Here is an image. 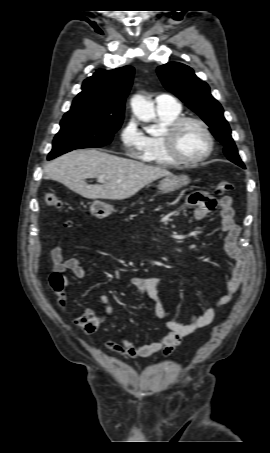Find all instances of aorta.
I'll return each mask as SVG.
<instances>
[{"label": "aorta", "mask_w": 270, "mask_h": 453, "mask_svg": "<svg viewBox=\"0 0 270 453\" xmlns=\"http://www.w3.org/2000/svg\"><path fill=\"white\" fill-rule=\"evenodd\" d=\"M131 107L134 115L140 121L148 123L156 117L153 103L140 94H136L132 97ZM146 131L150 134L156 133L154 126L147 128Z\"/></svg>", "instance_id": "1"}]
</instances>
